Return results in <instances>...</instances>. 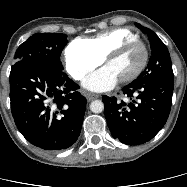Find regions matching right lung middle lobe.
I'll return each instance as SVG.
<instances>
[{"instance_id":"right-lung-middle-lobe-1","label":"right lung middle lobe","mask_w":187,"mask_h":187,"mask_svg":"<svg viewBox=\"0 0 187 187\" xmlns=\"http://www.w3.org/2000/svg\"><path fill=\"white\" fill-rule=\"evenodd\" d=\"M67 43L62 33H36L22 43L16 50L15 59L32 60L63 69L60 55Z\"/></svg>"}]
</instances>
